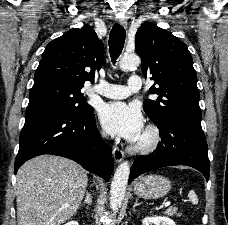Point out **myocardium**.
<instances>
[{"mask_svg":"<svg viewBox=\"0 0 228 225\" xmlns=\"http://www.w3.org/2000/svg\"><path fill=\"white\" fill-rule=\"evenodd\" d=\"M160 142L161 134L159 129L154 125H149L142 134V140L131 144L130 150L138 153H150L158 148Z\"/></svg>","mask_w":228,"mask_h":225,"instance_id":"myocardium-1","label":"myocardium"}]
</instances>
